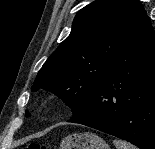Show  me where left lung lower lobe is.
Segmentation results:
<instances>
[{"instance_id":"0a47b994","label":"left lung lower lobe","mask_w":155,"mask_h":149,"mask_svg":"<svg viewBox=\"0 0 155 149\" xmlns=\"http://www.w3.org/2000/svg\"><path fill=\"white\" fill-rule=\"evenodd\" d=\"M68 122L155 149V34L143 15L87 104Z\"/></svg>"}]
</instances>
